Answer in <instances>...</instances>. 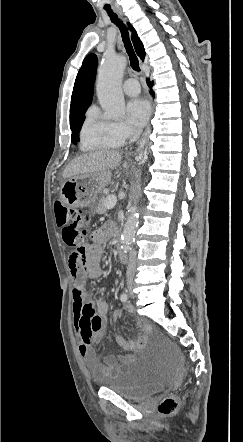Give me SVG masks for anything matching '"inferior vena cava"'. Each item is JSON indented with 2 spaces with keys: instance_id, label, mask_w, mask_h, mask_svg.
<instances>
[{
  "instance_id": "602c4592",
  "label": "inferior vena cava",
  "mask_w": 243,
  "mask_h": 442,
  "mask_svg": "<svg viewBox=\"0 0 243 442\" xmlns=\"http://www.w3.org/2000/svg\"><path fill=\"white\" fill-rule=\"evenodd\" d=\"M141 134L140 130H134L130 138V142L136 141ZM137 252L132 250L129 255V262L127 266V277L133 279L136 272Z\"/></svg>"
}]
</instances>
